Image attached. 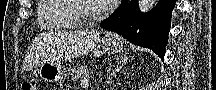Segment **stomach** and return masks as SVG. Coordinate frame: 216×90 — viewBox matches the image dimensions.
<instances>
[{"instance_id":"1","label":"stomach","mask_w":216,"mask_h":90,"mask_svg":"<svg viewBox=\"0 0 216 90\" xmlns=\"http://www.w3.org/2000/svg\"><path fill=\"white\" fill-rule=\"evenodd\" d=\"M101 43L103 51L108 54H116L123 49L122 40L114 35H106ZM38 74L41 80L48 82H62L67 76V71L60 63L48 62L40 66Z\"/></svg>"}]
</instances>
